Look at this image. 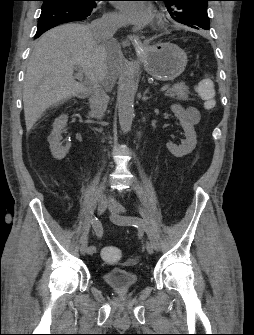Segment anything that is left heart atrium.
<instances>
[{"mask_svg":"<svg viewBox=\"0 0 254 335\" xmlns=\"http://www.w3.org/2000/svg\"><path fill=\"white\" fill-rule=\"evenodd\" d=\"M117 5L127 24L144 27L150 24L154 18V12L147 3L141 1H120Z\"/></svg>","mask_w":254,"mask_h":335,"instance_id":"1","label":"left heart atrium"}]
</instances>
